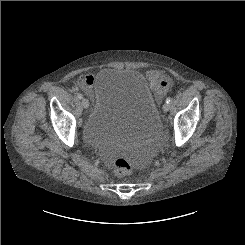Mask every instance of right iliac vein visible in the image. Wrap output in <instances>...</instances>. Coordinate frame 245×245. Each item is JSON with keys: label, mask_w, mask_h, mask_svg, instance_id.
Wrapping results in <instances>:
<instances>
[{"label": "right iliac vein", "mask_w": 245, "mask_h": 245, "mask_svg": "<svg viewBox=\"0 0 245 245\" xmlns=\"http://www.w3.org/2000/svg\"><path fill=\"white\" fill-rule=\"evenodd\" d=\"M81 105L83 108L87 109L89 107V101L85 98L81 100Z\"/></svg>", "instance_id": "obj_1"}]
</instances>
